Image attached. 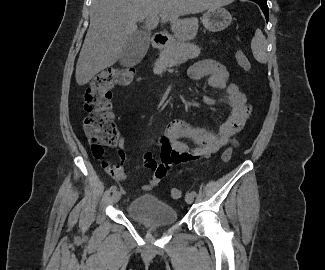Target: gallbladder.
<instances>
[{
    "label": "gallbladder",
    "instance_id": "bac80fb5",
    "mask_svg": "<svg viewBox=\"0 0 325 270\" xmlns=\"http://www.w3.org/2000/svg\"><path fill=\"white\" fill-rule=\"evenodd\" d=\"M150 44V33L147 31H136L126 42L120 63L123 66H131L139 63L145 56Z\"/></svg>",
    "mask_w": 325,
    "mask_h": 270
}]
</instances>
